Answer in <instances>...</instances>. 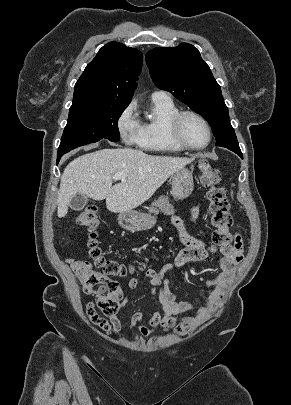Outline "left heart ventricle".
<instances>
[{"label": "left heart ventricle", "mask_w": 291, "mask_h": 405, "mask_svg": "<svg viewBox=\"0 0 291 405\" xmlns=\"http://www.w3.org/2000/svg\"><path fill=\"white\" fill-rule=\"evenodd\" d=\"M184 139L193 146H202L206 143L208 135L204 125L194 117L188 116L182 124Z\"/></svg>", "instance_id": "b2bd125f"}]
</instances>
